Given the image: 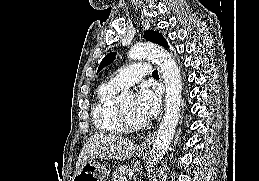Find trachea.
<instances>
[{
    "label": "trachea",
    "mask_w": 259,
    "mask_h": 181,
    "mask_svg": "<svg viewBox=\"0 0 259 181\" xmlns=\"http://www.w3.org/2000/svg\"><path fill=\"white\" fill-rule=\"evenodd\" d=\"M152 76H158V71L154 70L153 73H152Z\"/></svg>",
    "instance_id": "3493384b"
}]
</instances>
